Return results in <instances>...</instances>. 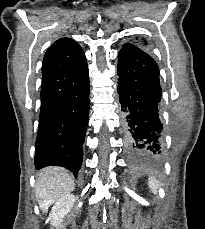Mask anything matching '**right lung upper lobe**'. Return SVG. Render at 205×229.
<instances>
[{"mask_svg":"<svg viewBox=\"0 0 205 229\" xmlns=\"http://www.w3.org/2000/svg\"><path fill=\"white\" fill-rule=\"evenodd\" d=\"M55 48V55L68 68L81 65L85 60L82 48L71 38H60L52 45Z\"/></svg>","mask_w":205,"mask_h":229,"instance_id":"obj_1","label":"right lung upper lobe"}]
</instances>
